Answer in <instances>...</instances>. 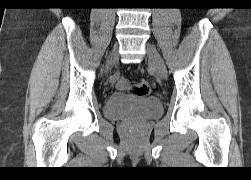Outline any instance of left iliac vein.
<instances>
[{
	"label": "left iliac vein",
	"instance_id": "1",
	"mask_svg": "<svg viewBox=\"0 0 251 180\" xmlns=\"http://www.w3.org/2000/svg\"><path fill=\"white\" fill-rule=\"evenodd\" d=\"M146 52L151 66L162 78H167V69L165 63L157 51L156 47L151 43L146 44Z\"/></svg>",
	"mask_w": 251,
	"mask_h": 180
}]
</instances>
